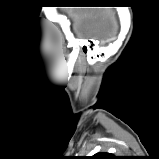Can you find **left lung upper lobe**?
Masks as SVG:
<instances>
[{"label": "left lung upper lobe", "instance_id": "left-lung-upper-lobe-1", "mask_svg": "<svg viewBox=\"0 0 159 159\" xmlns=\"http://www.w3.org/2000/svg\"><path fill=\"white\" fill-rule=\"evenodd\" d=\"M86 159H118V158L113 154L109 153H97L93 156L86 157Z\"/></svg>", "mask_w": 159, "mask_h": 159}]
</instances>
